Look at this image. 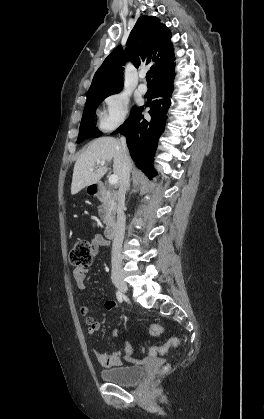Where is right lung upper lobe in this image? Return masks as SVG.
Instances as JSON below:
<instances>
[{
    "instance_id": "obj_1",
    "label": "right lung upper lobe",
    "mask_w": 264,
    "mask_h": 419,
    "mask_svg": "<svg viewBox=\"0 0 264 419\" xmlns=\"http://www.w3.org/2000/svg\"><path fill=\"white\" fill-rule=\"evenodd\" d=\"M170 38V30L158 18L139 17L129 35L126 50L118 46L96 71L87 98L121 90L122 66L126 60L132 61L135 67L144 61L152 63V82L163 74L174 72V50Z\"/></svg>"
}]
</instances>
